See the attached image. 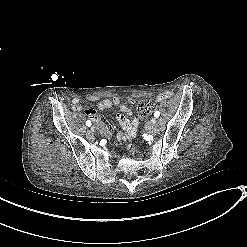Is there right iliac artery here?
<instances>
[{
	"label": "right iliac artery",
	"mask_w": 247,
	"mask_h": 247,
	"mask_svg": "<svg viewBox=\"0 0 247 247\" xmlns=\"http://www.w3.org/2000/svg\"><path fill=\"white\" fill-rule=\"evenodd\" d=\"M86 125H87L88 127H90V126H91V121H90V120H87V121H86Z\"/></svg>",
	"instance_id": "1"
}]
</instances>
